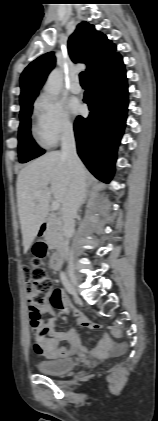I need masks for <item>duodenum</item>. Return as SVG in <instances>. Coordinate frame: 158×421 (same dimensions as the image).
<instances>
[{"instance_id":"duodenum-1","label":"duodenum","mask_w":158,"mask_h":421,"mask_svg":"<svg viewBox=\"0 0 158 421\" xmlns=\"http://www.w3.org/2000/svg\"><path fill=\"white\" fill-rule=\"evenodd\" d=\"M47 228V221H43V223L40 226V234L42 235ZM64 255H65V250L64 248H59L53 255L51 258V268L53 270H59L63 264V260H64Z\"/></svg>"}]
</instances>
